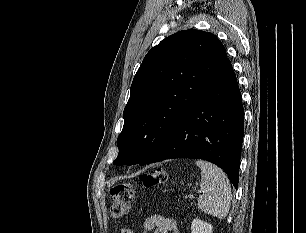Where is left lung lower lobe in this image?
Listing matches in <instances>:
<instances>
[{"mask_svg": "<svg viewBox=\"0 0 306 233\" xmlns=\"http://www.w3.org/2000/svg\"><path fill=\"white\" fill-rule=\"evenodd\" d=\"M244 136V110L230 60L146 163L198 158L221 167L235 188Z\"/></svg>", "mask_w": 306, "mask_h": 233, "instance_id": "1", "label": "left lung lower lobe"}]
</instances>
